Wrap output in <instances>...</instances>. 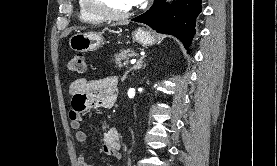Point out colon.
Listing matches in <instances>:
<instances>
[{"label":"colon","instance_id":"1","mask_svg":"<svg viewBox=\"0 0 277 166\" xmlns=\"http://www.w3.org/2000/svg\"><path fill=\"white\" fill-rule=\"evenodd\" d=\"M67 69L73 73H84L86 70L85 57L82 54H76L67 62Z\"/></svg>","mask_w":277,"mask_h":166}]
</instances>
